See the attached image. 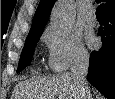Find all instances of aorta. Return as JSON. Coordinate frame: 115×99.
I'll list each match as a JSON object with an SVG mask.
<instances>
[{
    "mask_svg": "<svg viewBox=\"0 0 115 99\" xmlns=\"http://www.w3.org/2000/svg\"><path fill=\"white\" fill-rule=\"evenodd\" d=\"M75 7L69 2L56 4L51 15V27L55 32L65 33L75 22Z\"/></svg>",
    "mask_w": 115,
    "mask_h": 99,
    "instance_id": "1",
    "label": "aorta"
}]
</instances>
